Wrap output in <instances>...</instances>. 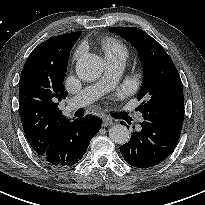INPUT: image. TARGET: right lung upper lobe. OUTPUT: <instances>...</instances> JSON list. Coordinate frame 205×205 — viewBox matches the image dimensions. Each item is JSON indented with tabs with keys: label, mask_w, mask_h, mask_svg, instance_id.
Masks as SVG:
<instances>
[{
	"label": "right lung upper lobe",
	"mask_w": 205,
	"mask_h": 205,
	"mask_svg": "<svg viewBox=\"0 0 205 205\" xmlns=\"http://www.w3.org/2000/svg\"><path fill=\"white\" fill-rule=\"evenodd\" d=\"M81 32L52 37L29 55L20 77L19 112L33 150L42 155L69 120L58 109L66 98L63 86L69 53Z\"/></svg>",
	"instance_id": "obj_1"
}]
</instances>
